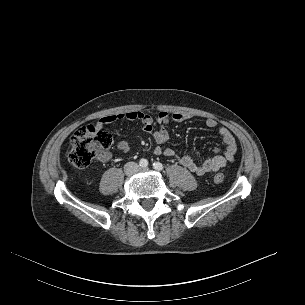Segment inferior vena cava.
Segmentation results:
<instances>
[{"label": "inferior vena cava", "instance_id": "obj_1", "mask_svg": "<svg viewBox=\"0 0 305 305\" xmlns=\"http://www.w3.org/2000/svg\"><path fill=\"white\" fill-rule=\"evenodd\" d=\"M130 166L134 167V168L138 167L137 163H135V162H129V163L126 164V168H129Z\"/></svg>", "mask_w": 305, "mask_h": 305}]
</instances>
